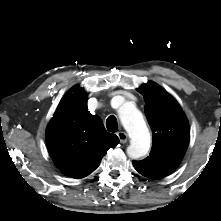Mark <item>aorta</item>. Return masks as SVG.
I'll return each mask as SVG.
<instances>
[{"instance_id": "obj_1", "label": "aorta", "mask_w": 221, "mask_h": 221, "mask_svg": "<svg viewBox=\"0 0 221 221\" xmlns=\"http://www.w3.org/2000/svg\"><path fill=\"white\" fill-rule=\"evenodd\" d=\"M120 121L131 138L127 154L133 159L145 156L150 149V133L142 113L131 102H124L118 109Z\"/></svg>"}]
</instances>
